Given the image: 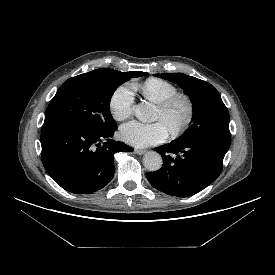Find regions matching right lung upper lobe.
<instances>
[{
	"label": "right lung upper lobe",
	"mask_w": 275,
	"mask_h": 275,
	"mask_svg": "<svg viewBox=\"0 0 275 275\" xmlns=\"http://www.w3.org/2000/svg\"><path fill=\"white\" fill-rule=\"evenodd\" d=\"M127 73L130 74V75L136 76L140 73V71H131V72H127Z\"/></svg>",
	"instance_id": "obj_1"
}]
</instances>
